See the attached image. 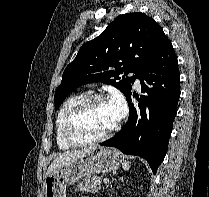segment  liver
<instances>
[{
    "label": "liver",
    "instance_id": "1",
    "mask_svg": "<svg viewBox=\"0 0 209 197\" xmlns=\"http://www.w3.org/2000/svg\"><path fill=\"white\" fill-rule=\"evenodd\" d=\"M90 148H85L82 150H73L70 152L63 153L62 155L58 156L49 166L46 176H49L54 172L58 167L63 166L67 164L69 161L77 158L78 156H81L82 154H85L91 150Z\"/></svg>",
    "mask_w": 209,
    "mask_h": 197
}]
</instances>
